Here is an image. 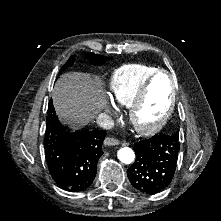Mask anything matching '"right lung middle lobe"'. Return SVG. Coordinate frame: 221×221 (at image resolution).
<instances>
[{"label":"right lung middle lobe","mask_w":221,"mask_h":221,"mask_svg":"<svg viewBox=\"0 0 221 221\" xmlns=\"http://www.w3.org/2000/svg\"><path fill=\"white\" fill-rule=\"evenodd\" d=\"M86 57H87L88 59H90V62H91L92 64H95V65H101V64H103L105 61L108 60V58H107L106 56L96 55V54H94V53H90V54L87 53V54H86ZM74 60H75V58H74V56H72V57L65 63V65L61 68L60 73H61L64 69H66L67 67L72 66L73 63H74Z\"/></svg>","instance_id":"obj_1"}]
</instances>
